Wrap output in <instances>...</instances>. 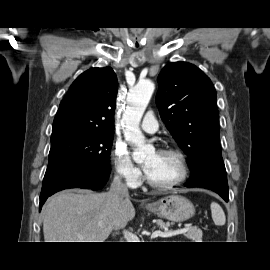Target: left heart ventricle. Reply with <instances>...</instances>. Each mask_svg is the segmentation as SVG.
Here are the masks:
<instances>
[{
  "instance_id": "b2bd125f",
  "label": "left heart ventricle",
  "mask_w": 270,
  "mask_h": 270,
  "mask_svg": "<svg viewBox=\"0 0 270 270\" xmlns=\"http://www.w3.org/2000/svg\"><path fill=\"white\" fill-rule=\"evenodd\" d=\"M146 163H151V169L147 175L156 183H168L180 175L179 161L173 155L151 153L146 157Z\"/></svg>"
}]
</instances>
